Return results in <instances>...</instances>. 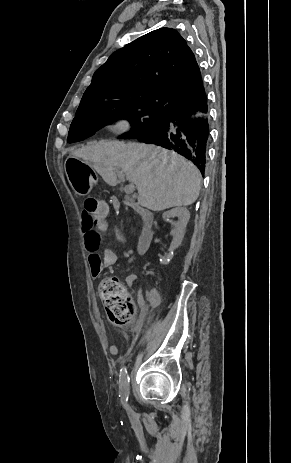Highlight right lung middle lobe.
<instances>
[{
	"label": "right lung middle lobe",
	"mask_w": 291,
	"mask_h": 463,
	"mask_svg": "<svg viewBox=\"0 0 291 463\" xmlns=\"http://www.w3.org/2000/svg\"><path fill=\"white\" fill-rule=\"evenodd\" d=\"M165 114L132 101H115L77 109L67 142L81 141L118 119H127L132 129L120 138H137L159 126Z\"/></svg>",
	"instance_id": "dd1d6c3e"
}]
</instances>
